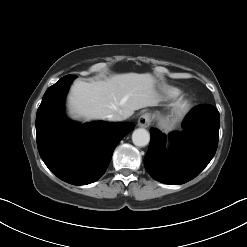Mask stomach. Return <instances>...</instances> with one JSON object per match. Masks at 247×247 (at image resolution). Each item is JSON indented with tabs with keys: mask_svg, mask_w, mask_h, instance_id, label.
<instances>
[{
	"mask_svg": "<svg viewBox=\"0 0 247 247\" xmlns=\"http://www.w3.org/2000/svg\"><path fill=\"white\" fill-rule=\"evenodd\" d=\"M161 125H162L163 127H168V124L165 123V122H161Z\"/></svg>",
	"mask_w": 247,
	"mask_h": 247,
	"instance_id": "obj_1",
	"label": "stomach"
}]
</instances>
